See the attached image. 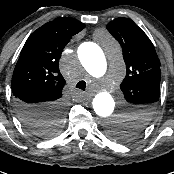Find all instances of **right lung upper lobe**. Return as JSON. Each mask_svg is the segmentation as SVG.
<instances>
[{"mask_svg": "<svg viewBox=\"0 0 174 174\" xmlns=\"http://www.w3.org/2000/svg\"><path fill=\"white\" fill-rule=\"evenodd\" d=\"M85 25L71 17H59L35 30L27 39L15 66L12 92L32 102L52 103L62 97L65 80L59 71V59L71 37ZM50 106V105H49ZM48 110L21 113L25 122L46 120Z\"/></svg>", "mask_w": 174, "mask_h": 174, "instance_id": "1", "label": "right lung upper lobe"}]
</instances>
